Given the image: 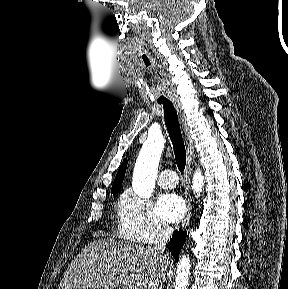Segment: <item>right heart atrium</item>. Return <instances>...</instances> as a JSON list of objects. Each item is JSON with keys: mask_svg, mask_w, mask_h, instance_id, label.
<instances>
[{"mask_svg": "<svg viewBox=\"0 0 288 289\" xmlns=\"http://www.w3.org/2000/svg\"><path fill=\"white\" fill-rule=\"evenodd\" d=\"M119 230L123 238L142 244L165 239L170 228L159 218L152 201L126 191L118 203Z\"/></svg>", "mask_w": 288, "mask_h": 289, "instance_id": "right-heart-atrium-1", "label": "right heart atrium"}]
</instances>
